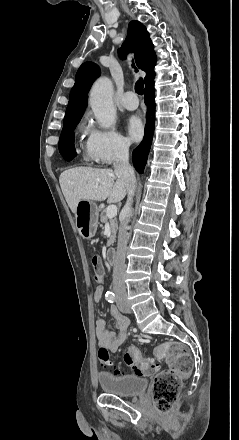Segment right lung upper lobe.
<instances>
[{"label": "right lung upper lobe", "instance_id": "1", "mask_svg": "<svg viewBox=\"0 0 239 440\" xmlns=\"http://www.w3.org/2000/svg\"><path fill=\"white\" fill-rule=\"evenodd\" d=\"M129 52L134 53L137 67L146 72L145 80L154 74L156 55L153 51V44L146 27L138 21L129 23L128 37L121 49L118 50L119 56L123 59H126ZM99 75V67L92 62H85L78 69L75 84L70 92L63 125L82 117L87 105V93Z\"/></svg>", "mask_w": 239, "mask_h": 440}]
</instances>
